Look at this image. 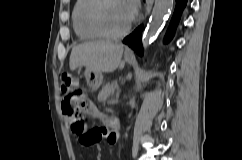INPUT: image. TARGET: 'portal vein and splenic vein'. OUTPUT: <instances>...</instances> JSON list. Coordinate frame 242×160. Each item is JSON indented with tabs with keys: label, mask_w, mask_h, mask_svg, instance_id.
Wrapping results in <instances>:
<instances>
[{
	"label": "portal vein and splenic vein",
	"mask_w": 242,
	"mask_h": 160,
	"mask_svg": "<svg viewBox=\"0 0 242 160\" xmlns=\"http://www.w3.org/2000/svg\"><path fill=\"white\" fill-rule=\"evenodd\" d=\"M109 103H110V104H115V103H118V100H114V99H112Z\"/></svg>",
	"instance_id": "portal-vein-and-splenic-vein-1"
}]
</instances>
